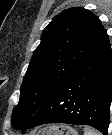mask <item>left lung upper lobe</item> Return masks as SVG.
<instances>
[{
    "label": "left lung upper lobe",
    "mask_w": 112,
    "mask_h": 135,
    "mask_svg": "<svg viewBox=\"0 0 112 135\" xmlns=\"http://www.w3.org/2000/svg\"><path fill=\"white\" fill-rule=\"evenodd\" d=\"M105 34L98 17L81 7L66 9L53 18L23 79L11 117L15 129L24 128Z\"/></svg>",
    "instance_id": "5c2ea615"
}]
</instances>
